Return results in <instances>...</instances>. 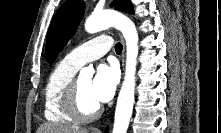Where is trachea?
<instances>
[{"instance_id":"trachea-1","label":"trachea","mask_w":221,"mask_h":133,"mask_svg":"<svg viewBox=\"0 0 221 133\" xmlns=\"http://www.w3.org/2000/svg\"><path fill=\"white\" fill-rule=\"evenodd\" d=\"M122 44L121 43H117L116 45H115V51H116V53L117 54H120L121 52H122Z\"/></svg>"}]
</instances>
